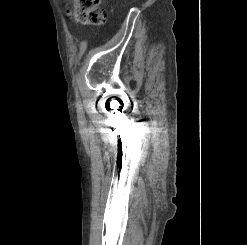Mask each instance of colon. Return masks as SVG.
Masks as SVG:
<instances>
[{
	"label": "colon",
	"mask_w": 247,
	"mask_h": 245,
	"mask_svg": "<svg viewBox=\"0 0 247 245\" xmlns=\"http://www.w3.org/2000/svg\"><path fill=\"white\" fill-rule=\"evenodd\" d=\"M73 3L75 20L89 25L102 24L106 19V11L100 7V0H67Z\"/></svg>",
	"instance_id": "colon-1"
}]
</instances>
